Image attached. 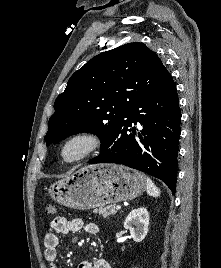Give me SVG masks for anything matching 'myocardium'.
Returning a JSON list of instances; mask_svg holds the SVG:
<instances>
[{
  "mask_svg": "<svg viewBox=\"0 0 221 268\" xmlns=\"http://www.w3.org/2000/svg\"><path fill=\"white\" fill-rule=\"evenodd\" d=\"M74 144H78L79 149L69 154L68 150ZM102 145L103 140L98 133L89 130L77 131L62 141L58 150L59 158L63 163L73 165L96 154Z\"/></svg>",
  "mask_w": 221,
  "mask_h": 268,
  "instance_id": "obj_1",
  "label": "myocardium"
}]
</instances>
